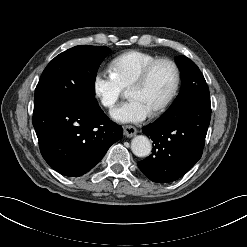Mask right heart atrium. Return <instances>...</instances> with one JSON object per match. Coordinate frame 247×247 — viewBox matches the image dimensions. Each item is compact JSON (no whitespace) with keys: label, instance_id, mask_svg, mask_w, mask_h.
Instances as JSON below:
<instances>
[{"label":"right heart atrium","instance_id":"right-heart-atrium-1","mask_svg":"<svg viewBox=\"0 0 247 247\" xmlns=\"http://www.w3.org/2000/svg\"><path fill=\"white\" fill-rule=\"evenodd\" d=\"M92 88L94 96L105 108L113 107L123 93V89L106 71L94 75Z\"/></svg>","mask_w":247,"mask_h":247}]
</instances>
